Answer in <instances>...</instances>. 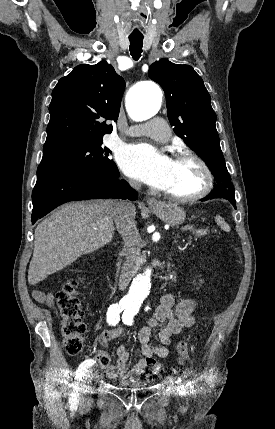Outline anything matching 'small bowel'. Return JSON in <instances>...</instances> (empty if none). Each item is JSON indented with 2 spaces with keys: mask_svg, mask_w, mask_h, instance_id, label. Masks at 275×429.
I'll use <instances>...</instances> for the list:
<instances>
[{
  "mask_svg": "<svg viewBox=\"0 0 275 429\" xmlns=\"http://www.w3.org/2000/svg\"><path fill=\"white\" fill-rule=\"evenodd\" d=\"M34 298L48 306L53 305V294L35 291ZM197 302L193 298H184L176 303L172 294H163L159 299V305L155 308L147 324L139 331L138 341L143 355L132 368H128L129 354L124 345L117 349V360L107 368V374L111 378L121 377L123 379L135 380L137 376L145 372L147 362L155 357L165 358L168 354L167 346L173 335L179 334L184 328L193 326L194 311ZM158 324H164L159 333L160 345H151V330ZM123 333L120 327H113L102 332L98 340L101 344H107Z\"/></svg>",
  "mask_w": 275,
  "mask_h": 429,
  "instance_id": "c3829d8e",
  "label": "small bowel"
}]
</instances>
